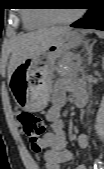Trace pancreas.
Segmentation results:
<instances>
[{"instance_id":"pancreas-1","label":"pancreas","mask_w":104,"mask_h":169,"mask_svg":"<svg viewBox=\"0 0 104 169\" xmlns=\"http://www.w3.org/2000/svg\"><path fill=\"white\" fill-rule=\"evenodd\" d=\"M81 71V60L68 53L62 57V68L58 69L61 77L74 75Z\"/></svg>"}]
</instances>
